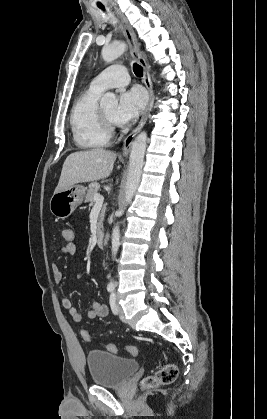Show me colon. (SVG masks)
<instances>
[{
  "instance_id": "1",
  "label": "colon",
  "mask_w": 267,
  "mask_h": 419,
  "mask_svg": "<svg viewBox=\"0 0 267 419\" xmlns=\"http://www.w3.org/2000/svg\"><path fill=\"white\" fill-rule=\"evenodd\" d=\"M62 237L65 241V244L68 245H76L75 243V232L73 228L67 227L63 229L62 231ZM82 338L89 342L91 340V334L88 330H82L81 332ZM106 349L111 353H118L120 351V348L116 344H107ZM125 352L132 356H136L138 353V350L135 346H125L124 347ZM178 375L177 367L174 364L167 363L163 365L161 368H159L155 373L147 376L143 380V385L145 387H155L158 385H167L173 383Z\"/></svg>"
}]
</instances>
